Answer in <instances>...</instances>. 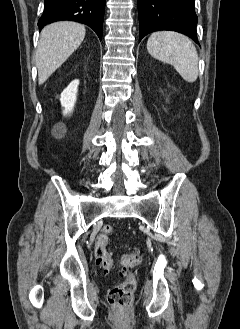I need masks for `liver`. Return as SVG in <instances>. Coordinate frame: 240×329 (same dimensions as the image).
I'll list each match as a JSON object with an SVG mask.
<instances>
[{"instance_id": "liver-1", "label": "liver", "mask_w": 240, "mask_h": 329, "mask_svg": "<svg viewBox=\"0 0 240 329\" xmlns=\"http://www.w3.org/2000/svg\"><path fill=\"white\" fill-rule=\"evenodd\" d=\"M85 33L83 25L69 21L50 24L41 31L35 59L39 85L81 45Z\"/></svg>"}]
</instances>
